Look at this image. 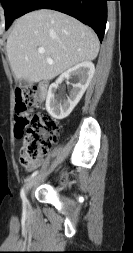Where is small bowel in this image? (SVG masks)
I'll return each mask as SVG.
<instances>
[{
	"label": "small bowel",
	"instance_id": "small-bowel-1",
	"mask_svg": "<svg viewBox=\"0 0 133 253\" xmlns=\"http://www.w3.org/2000/svg\"><path fill=\"white\" fill-rule=\"evenodd\" d=\"M40 164H41V159H39L38 161H36L34 164L28 166L27 170H32L33 168L39 166Z\"/></svg>",
	"mask_w": 133,
	"mask_h": 253
}]
</instances>
